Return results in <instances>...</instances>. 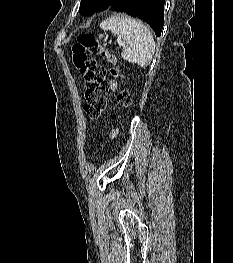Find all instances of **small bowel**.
<instances>
[{
	"mask_svg": "<svg viewBox=\"0 0 233 263\" xmlns=\"http://www.w3.org/2000/svg\"><path fill=\"white\" fill-rule=\"evenodd\" d=\"M109 86H110L111 90L115 91L117 89V82L115 80H110ZM117 133H118L117 129L111 130L110 137L114 138L117 135Z\"/></svg>",
	"mask_w": 233,
	"mask_h": 263,
	"instance_id": "obj_1",
	"label": "small bowel"
}]
</instances>
